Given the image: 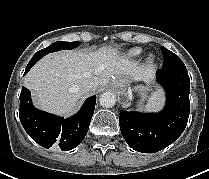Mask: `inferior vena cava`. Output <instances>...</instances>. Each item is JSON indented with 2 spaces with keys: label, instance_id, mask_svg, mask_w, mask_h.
<instances>
[{
  "label": "inferior vena cava",
  "instance_id": "inferior-vena-cava-1",
  "mask_svg": "<svg viewBox=\"0 0 209 179\" xmlns=\"http://www.w3.org/2000/svg\"><path fill=\"white\" fill-rule=\"evenodd\" d=\"M94 86H95V83L92 81V80H85L81 86H80V89L83 91V92H89L91 90L94 89Z\"/></svg>",
  "mask_w": 209,
  "mask_h": 179
}]
</instances>
